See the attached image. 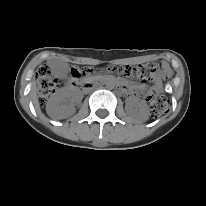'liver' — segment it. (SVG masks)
I'll return each instance as SVG.
<instances>
[{
    "instance_id": "6515ba94",
    "label": "liver",
    "mask_w": 206,
    "mask_h": 206,
    "mask_svg": "<svg viewBox=\"0 0 206 206\" xmlns=\"http://www.w3.org/2000/svg\"><path fill=\"white\" fill-rule=\"evenodd\" d=\"M30 97L33 101L34 107L37 111H40V105H39V101H38V97H37V91H36V87L33 84L31 91H30ZM48 115L56 120H60V119H65L67 117H69V114L65 113V112H50L49 110H47Z\"/></svg>"
}]
</instances>
